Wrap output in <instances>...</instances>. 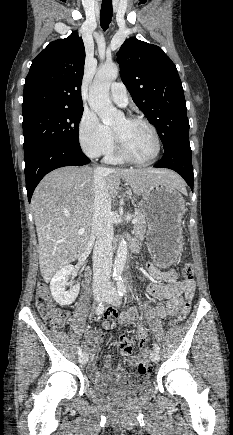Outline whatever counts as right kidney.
<instances>
[{
	"label": "right kidney",
	"mask_w": 233,
	"mask_h": 435,
	"mask_svg": "<svg viewBox=\"0 0 233 435\" xmlns=\"http://www.w3.org/2000/svg\"><path fill=\"white\" fill-rule=\"evenodd\" d=\"M71 274H77V269L73 265H67L59 270L50 282L52 296L54 300L62 306L72 304L80 291L79 283L70 288L69 291L66 290L67 279Z\"/></svg>",
	"instance_id": "obj_1"
}]
</instances>
